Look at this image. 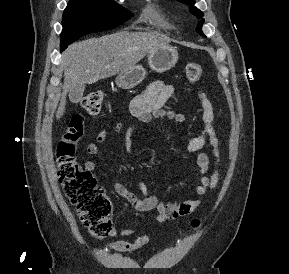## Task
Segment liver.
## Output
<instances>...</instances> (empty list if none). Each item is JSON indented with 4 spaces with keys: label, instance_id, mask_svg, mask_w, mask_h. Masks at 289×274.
<instances>
[{
    "label": "liver",
    "instance_id": "obj_1",
    "mask_svg": "<svg viewBox=\"0 0 289 274\" xmlns=\"http://www.w3.org/2000/svg\"><path fill=\"white\" fill-rule=\"evenodd\" d=\"M166 44L165 38L151 33L121 31L69 46L62 55L64 85L56 118L63 116L71 89L127 72L145 55Z\"/></svg>",
    "mask_w": 289,
    "mask_h": 274
}]
</instances>
